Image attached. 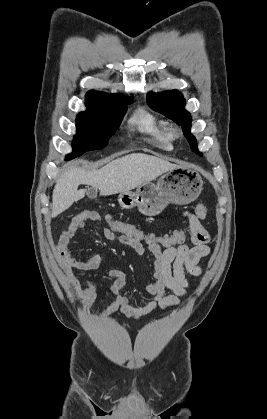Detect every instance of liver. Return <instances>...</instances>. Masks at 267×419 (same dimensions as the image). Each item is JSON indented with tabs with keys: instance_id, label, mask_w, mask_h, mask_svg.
<instances>
[{
	"instance_id": "obj_1",
	"label": "liver",
	"mask_w": 267,
	"mask_h": 419,
	"mask_svg": "<svg viewBox=\"0 0 267 419\" xmlns=\"http://www.w3.org/2000/svg\"><path fill=\"white\" fill-rule=\"evenodd\" d=\"M176 167L167 160L144 153L126 155L93 171L71 165L54 187L52 217L58 216L85 196V190H78L80 184L90 185L98 189L102 196H109L135 189Z\"/></svg>"
}]
</instances>
